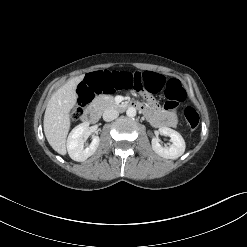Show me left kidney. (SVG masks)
I'll return each instance as SVG.
<instances>
[{"label":"left kidney","instance_id":"1","mask_svg":"<svg viewBox=\"0 0 247 247\" xmlns=\"http://www.w3.org/2000/svg\"><path fill=\"white\" fill-rule=\"evenodd\" d=\"M159 134L169 136L172 144L169 147H163L160 145L158 138L154 137L152 139V149L155 153L166 159H177L184 153L186 145L180 133L168 127H161L159 128Z\"/></svg>","mask_w":247,"mask_h":247}]
</instances>
